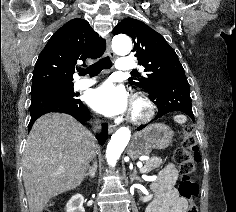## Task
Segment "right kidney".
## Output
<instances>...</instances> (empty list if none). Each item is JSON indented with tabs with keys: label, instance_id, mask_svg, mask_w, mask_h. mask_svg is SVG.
Returning <instances> with one entry per match:
<instances>
[{
	"label": "right kidney",
	"instance_id": "obj_1",
	"mask_svg": "<svg viewBox=\"0 0 236 212\" xmlns=\"http://www.w3.org/2000/svg\"><path fill=\"white\" fill-rule=\"evenodd\" d=\"M84 197L76 194L66 204V212H85L83 207Z\"/></svg>",
	"mask_w": 236,
	"mask_h": 212
}]
</instances>
